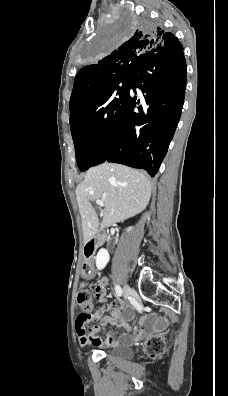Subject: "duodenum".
Listing matches in <instances>:
<instances>
[{
	"label": "duodenum",
	"instance_id": "410a0bca",
	"mask_svg": "<svg viewBox=\"0 0 228 396\" xmlns=\"http://www.w3.org/2000/svg\"><path fill=\"white\" fill-rule=\"evenodd\" d=\"M105 238L104 234L90 238L85 244L84 253L89 254L91 257L95 249L105 241Z\"/></svg>",
	"mask_w": 228,
	"mask_h": 396
}]
</instances>
